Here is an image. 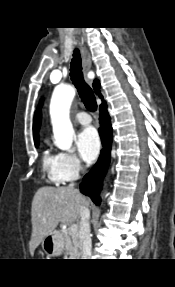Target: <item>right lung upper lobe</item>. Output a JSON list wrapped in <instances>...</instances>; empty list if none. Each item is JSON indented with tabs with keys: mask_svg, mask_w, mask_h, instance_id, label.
Instances as JSON below:
<instances>
[{
	"mask_svg": "<svg viewBox=\"0 0 175 287\" xmlns=\"http://www.w3.org/2000/svg\"><path fill=\"white\" fill-rule=\"evenodd\" d=\"M93 88H94V90H95V92L98 94V96L102 99V104H104L105 103V101L103 100V97H102V95H101V93H100V83H99V81L98 80H94V82H93ZM101 104V105H102ZM100 105V106H101ZM33 134H34V141H35V143H37L38 141H39V138H38V132H37V129H36V126H35V124H34V126H33Z\"/></svg>",
	"mask_w": 175,
	"mask_h": 287,
	"instance_id": "1",
	"label": "right lung upper lobe"
}]
</instances>
